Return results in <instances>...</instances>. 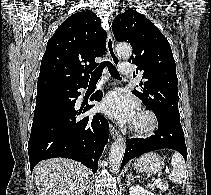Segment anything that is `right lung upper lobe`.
Instances as JSON below:
<instances>
[{
  "label": "right lung upper lobe",
  "mask_w": 211,
  "mask_h": 195,
  "mask_svg": "<svg viewBox=\"0 0 211 195\" xmlns=\"http://www.w3.org/2000/svg\"><path fill=\"white\" fill-rule=\"evenodd\" d=\"M92 11L72 14L48 40L41 61L37 94L54 88L88 82L97 67L94 58L106 49V33Z\"/></svg>",
  "instance_id": "cb5924a9"
}]
</instances>
